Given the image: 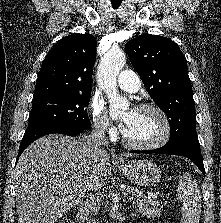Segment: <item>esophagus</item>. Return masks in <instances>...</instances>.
I'll use <instances>...</instances> for the list:
<instances>
[{
	"instance_id": "obj_1",
	"label": "esophagus",
	"mask_w": 221,
	"mask_h": 223,
	"mask_svg": "<svg viewBox=\"0 0 221 223\" xmlns=\"http://www.w3.org/2000/svg\"><path fill=\"white\" fill-rule=\"evenodd\" d=\"M115 160H116L117 162H121V161H122L120 157H116Z\"/></svg>"
}]
</instances>
